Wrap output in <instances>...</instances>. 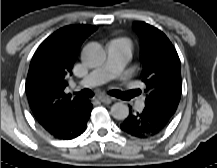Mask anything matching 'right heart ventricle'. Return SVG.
Masks as SVG:
<instances>
[{"label":"right heart ventricle","mask_w":217,"mask_h":168,"mask_svg":"<svg viewBox=\"0 0 217 168\" xmlns=\"http://www.w3.org/2000/svg\"><path fill=\"white\" fill-rule=\"evenodd\" d=\"M117 40H123V41H125V42L129 45V41L126 40V39H117ZM129 47H130V46H129Z\"/></svg>","instance_id":"e07e8e85"}]
</instances>
